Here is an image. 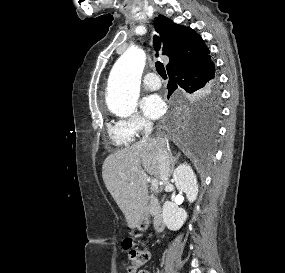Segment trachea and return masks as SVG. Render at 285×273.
Here are the masks:
<instances>
[{
	"mask_svg": "<svg viewBox=\"0 0 285 273\" xmlns=\"http://www.w3.org/2000/svg\"><path fill=\"white\" fill-rule=\"evenodd\" d=\"M153 44H154V48H155V51H156V57H158V52L160 50L161 42H160L159 38L156 35H154ZM155 66H156V70H157L158 74L163 79H166L167 78V74H166L164 65L160 61H156Z\"/></svg>",
	"mask_w": 285,
	"mask_h": 273,
	"instance_id": "1",
	"label": "trachea"
}]
</instances>
